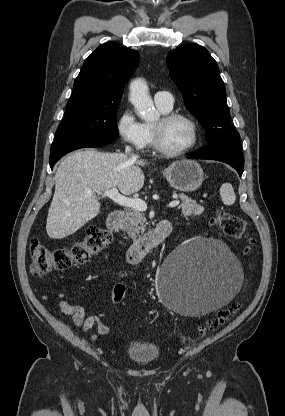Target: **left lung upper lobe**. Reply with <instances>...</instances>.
Masks as SVG:
<instances>
[{
  "label": "left lung upper lobe",
  "mask_w": 285,
  "mask_h": 416,
  "mask_svg": "<svg viewBox=\"0 0 285 416\" xmlns=\"http://www.w3.org/2000/svg\"><path fill=\"white\" fill-rule=\"evenodd\" d=\"M167 63L185 106L206 129L208 143L239 137L230 124L218 65L207 49L198 44L183 45L168 53Z\"/></svg>",
  "instance_id": "left-lung-upper-lobe-1"
}]
</instances>
